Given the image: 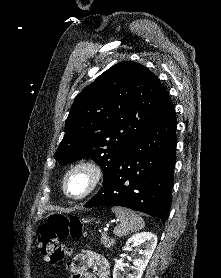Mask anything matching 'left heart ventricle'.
I'll return each instance as SVG.
<instances>
[{"label":"left heart ventricle","instance_id":"obj_1","mask_svg":"<svg viewBox=\"0 0 221 278\" xmlns=\"http://www.w3.org/2000/svg\"><path fill=\"white\" fill-rule=\"evenodd\" d=\"M87 185V175L84 172L74 173L68 181L67 190L71 195L80 194Z\"/></svg>","mask_w":221,"mask_h":278}]
</instances>
